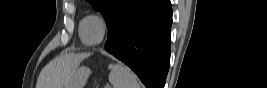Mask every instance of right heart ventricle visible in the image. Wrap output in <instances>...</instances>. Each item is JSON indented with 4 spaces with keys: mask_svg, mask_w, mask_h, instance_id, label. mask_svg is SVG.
<instances>
[{
    "mask_svg": "<svg viewBox=\"0 0 267 88\" xmlns=\"http://www.w3.org/2000/svg\"><path fill=\"white\" fill-rule=\"evenodd\" d=\"M85 19H86V17H84V18L82 19V21L80 22V26H79V35H80V38H81V30H82V26H83V23H84Z\"/></svg>",
    "mask_w": 267,
    "mask_h": 88,
    "instance_id": "e07e8e85",
    "label": "right heart ventricle"
}]
</instances>
